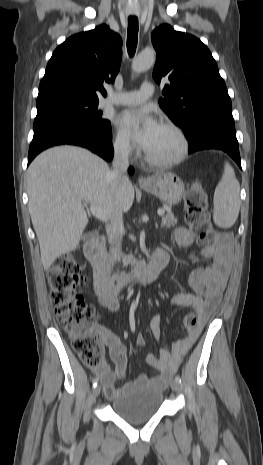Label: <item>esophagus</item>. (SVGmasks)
Here are the masks:
<instances>
[{"instance_id": "esophagus-1", "label": "esophagus", "mask_w": 263, "mask_h": 465, "mask_svg": "<svg viewBox=\"0 0 263 465\" xmlns=\"http://www.w3.org/2000/svg\"><path fill=\"white\" fill-rule=\"evenodd\" d=\"M138 183L140 185H146V184H149L150 181L147 178H145L143 176H140L139 179H138Z\"/></svg>"}]
</instances>
